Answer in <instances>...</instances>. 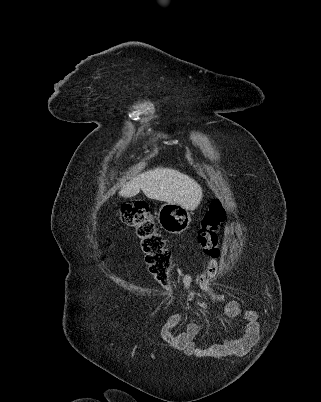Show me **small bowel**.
<instances>
[{"label": "small bowel", "mask_w": 321, "mask_h": 402, "mask_svg": "<svg viewBox=\"0 0 321 402\" xmlns=\"http://www.w3.org/2000/svg\"><path fill=\"white\" fill-rule=\"evenodd\" d=\"M182 280L184 284H189L191 276L184 274ZM225 308L234 322H239L241 313L245 320H248L246 326L234 331V344H201L199 347L195 341L200 329L197 323H189L185 330L177 331L183 319L182 314H175L166 322L164 328L166 339L175 347L182 349L185 358H244L246 353H253L257 345L256 339L261 337L260 321L256 320L257 313L252 307H244L241 310L234 302H227ZM225 341H230V336H225Z\"/></svg>", "instance_id": "small-bowel-1"}]
</instances>
